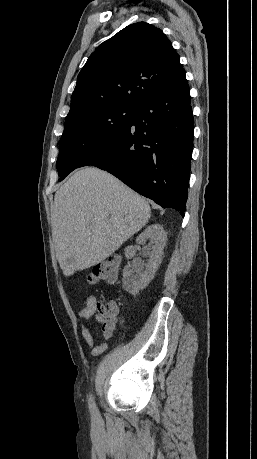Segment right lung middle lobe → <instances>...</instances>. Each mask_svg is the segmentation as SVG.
Returning <instances> with one entry per match:
<instances>
[{
	"instance_id": "1",
	"label": "right lung middle lobe",
	"mask_w": 257,
	"mask_h": 459,
	"mask_svg": "<svg viewBox=\"0 0 257 459\" xmlns=\"http://www.w3.org/2000/svg\"><path fill=\"white\" fill-rule=\"evenodd\" d=\"M136 107H110L64 126L56 162L63 180L79 165L117 139L128 127Z\"/></svg>"
}]
</instances>
